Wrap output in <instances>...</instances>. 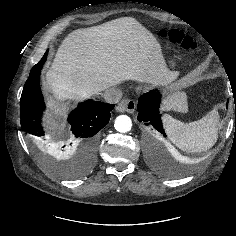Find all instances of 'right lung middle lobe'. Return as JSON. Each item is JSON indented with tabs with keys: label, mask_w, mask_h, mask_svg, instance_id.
<instances>
[{
	"label": "right lung middle lobe",
	"mask_w": 236,
	"mask_h": 236,
	"mask_svg": "<svg viewBox=\"0 0 236 236\" xmlns=\"http://www.w3.org/2000/svg\"><path fill=\"white\" fill-rule=\"evenodd\" d=\"M31 144L33 146L35 153L47 168L52 169L53 171L59 173L64 177H75L82 172V170L80 169H73V168L71 169L68 165L56 162L51 156L47 154L48 150H46L38 142L32 140ZM93 162H94V156H92L90 159L85 160V165L89 166L93 164Z\"/></svg>",
	"instance_id": "right-lung-middle-lobe-1"
}]
</instances>
